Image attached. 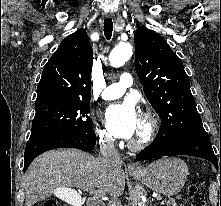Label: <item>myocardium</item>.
Returning <instances> with one entry per match:
<instances>
[{
	"mask_svg": "<svg viewBox=\"0 0 221 206\" xmlns=\"http://www.w3.org/2000/svg\"><path fill=\"white\" fill-rule=\"evenodd\" d=\"M141 120L144 123L142 136L129 142V147L133 150H140L149 145L155 138L158 131V120L152 111H144L141 116Z\"/></svg>",
	"mask_w": 221,
	"mask_h": 206,
	"instance_id": "myocardium-1",
	"label": "myocardium"
}]
</instances>
